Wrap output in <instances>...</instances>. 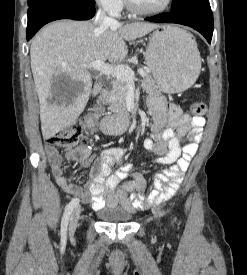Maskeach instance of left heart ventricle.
<instances>
[{
	"instance_id": "b2bd125f",
	"label": "left heart ventricle",
	"mask_w": 247,
	"mask_h": 275,
	"mask_svg": "<svg viewBox=\"0 0 247 275\" xmlns=\"http://www.w3.org/2000/svg\"><path fill=\"white\" fill-rule=\"evenodd\" d=\"M134 3L143 9H155L161 7L166 0H133Z\"/></svg>"
}]
</instances>
